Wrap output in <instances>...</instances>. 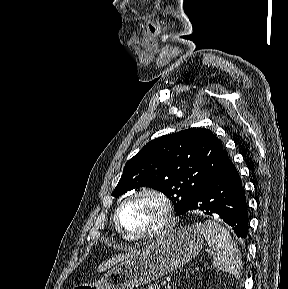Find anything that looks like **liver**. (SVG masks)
Masks as SVG:
<instances>
[{"instance_id": "obj_1", "label": "liver", "mask_w": 288, "mask_h": 289, "mask_svg": "<svg viewBox=\"0 0 288 289\" xmlns=\"http://www.w3.org/2000/svg\"><path fill=\"white\" fill-rule=\"evenodd\" d=\"M137 254V252H131L129 254H122V255H118L106 262H103L99 267H98V271H104L108 268H110L111 266L117 264L118 262H123L124 260H129L130 258L134 257Z\"/></svg>"}]
</instances>
